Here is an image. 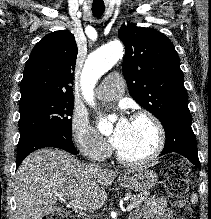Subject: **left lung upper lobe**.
<instances>
[{
	"instance_id": "1",
	"label": "left lung upper lobe",
	"mask_w": 211,
	"mask_h": 219,
	"mask_svg": "<svg viewBox=\"0 0 211 219\" xmlns=\"http://www.w3.org/2000/svg\"><path fill=\"white\" fill-rule=\"evenodd\" d=\"M126 53L123 75L132 97L162 125L175 115H190L179 56L162 33L133 25L118 32Z\"/></svg>"
}]
</instances>
